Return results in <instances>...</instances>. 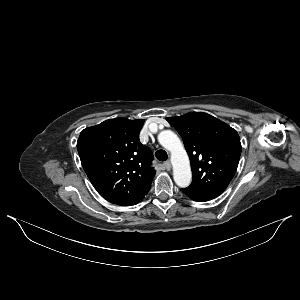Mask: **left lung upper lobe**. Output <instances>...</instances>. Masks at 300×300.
<instances>
[{"instance_id": "left-lung-upper-lobe-1", "label": "left lung upper lobe", "mask_w": 300, "mask_h": 300, "mask_svg": "<svg viewBox=\"0 0 300 300\" xmlns=\"http://www.w3.org/2000/svg\"><path fill=\"white\" fill-rule=\"evenodd\" d=\"M166 120L181 135L189 155L193 181L188 187L220 195L231 182L241 155L237 131L203 112H190Z\"/></svg>"}]
</instances>
